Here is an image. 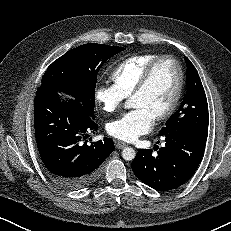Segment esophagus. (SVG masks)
Returning <instances> with one entry per match:
<instances>
[{
    "label": "esophagus",
    "mask_w": 231,
    "mask_h": 231,
    "mask_svg": "<svg viewBox=\"0 0 231 231\" xmlns=\"http://www.w3.org/2000/svg\"><path fill=\"white\" fill-rule=\"evenodd\" d=\"M126 146H128V145H127L126 143L122 142V141H118V142L115 143V147H116L117 149H123V148H125Z\"/></svg>",
    "instance_id": "34e87169"
}]
</instances>
